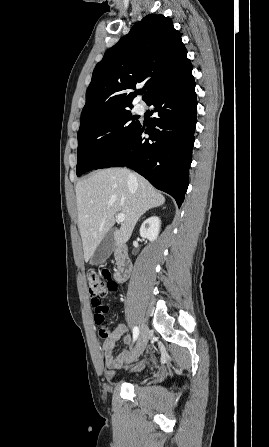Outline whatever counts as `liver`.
Segmentation results:
<instances>
[{"mask_svg": "<svg viewBox=\"0 0 269 447\" xmlns=\"http://www.w3.org/2000/svg\"><path fill=\"white\" fill-rule=\"evenodd\" d=\"M129 174L130 170L126 168L97 170L76 184L78 227L85 261H89L100 241L115 224V216H125L120 229L114 233L116 245H122L128 241L144 212L164 204V196L145 178L133 174L135 180H128Z\"/></svg>", "mask_w": 269, "mask_h": 447, "instance_id": "liver-1", "label": "liver"}]
</instances>
